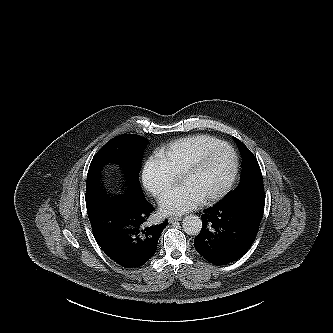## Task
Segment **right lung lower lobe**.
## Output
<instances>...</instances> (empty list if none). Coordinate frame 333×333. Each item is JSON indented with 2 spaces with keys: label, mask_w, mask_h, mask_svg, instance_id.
Wrapping results in <instances>:
<instances>
[{
  "label": "right lung lower lobe",
  "mask_w": 333,
  "mask_h": 333,
  "mask_svg": "<svg viewBox=\"0 0 333 333\" xmlns=\"http://www.w3.org/2000/svg\"><path fill=\"white\" fill-rule=\"evenodd\" d=\"M94 238L104 253L124 268H137L153 257L168 221L145 226L154 207L143 197L104 194L86 198Z\"/></svg>",
  "instance_id": "98d812e1"
}]
</instances>
